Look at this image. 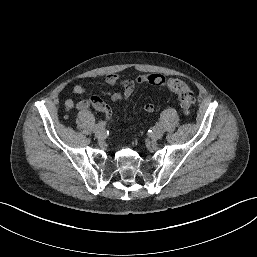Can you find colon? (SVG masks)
<instances>
[{"label":"colon","mask_w":257,"mask_h":257,"mask_svg":"<svg viewBox=\"0 0 257 257\" xmlns=\"http://www.w3.org/2000/svg\"><path fill=\"white\" fill-rule=\"evenodd\" d=\"M167 88L178 96L180 105L185 114H190L195 99L189 86L179 79H170L166 83Z\"/></svg>","instance_id":"1"}]
</instances>
